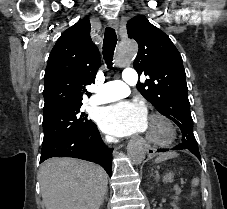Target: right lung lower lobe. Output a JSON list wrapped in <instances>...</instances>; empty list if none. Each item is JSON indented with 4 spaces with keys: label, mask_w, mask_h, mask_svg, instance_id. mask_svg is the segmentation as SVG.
Instances as JSON below:
<instances>
[{
    "label": "right lung lower lobe",
    "mask_w": 227,
    "mask_h": 209,
    "mask_svg": "<svg viewBox=\"0 0 227 209\" xmlns=\"http://www.w3.org/2000/svg\"><path fill=\"white\" fill-rule=\"evenodd\" d=\"M111 151L106 148L97 126L93 124L86 130L68 133L42 143L40 163L52 157L79 158L101 165L111 176Z\"/></svg>",
    "instance_id": "1"
}]
</instances>
